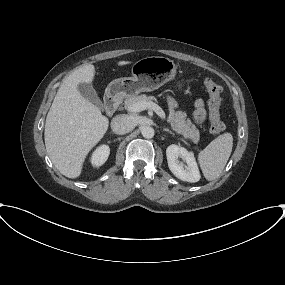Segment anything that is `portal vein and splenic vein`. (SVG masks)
<instances>
[{
	"label": "portal vein and splenic vein",
	"mask_w": 285,
	"mask_h": 285,
	"mask_svg": "<svg viewBox=\"0 0 285 285\" xmlns=\"http://www.w3.org/2000/svg\"><path fill=\"white\" fill-rule=\"evenodd\" d=\"M146 109L153 110L154 112H156V114L158 116H160L162 119H165L164 111L162 110V108L160 106H158L154 102L140 101V102H137V103L131 105L130 107H128L127 110L130 112H141V111L146 110Z\"/></svg>",
	"instance_id": "18ae733b"
}]
</instances>
